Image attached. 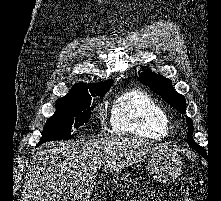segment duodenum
I'll list each match as a JSON object with an SVG mask.
<instances>
[{
  "mask_svg": "<svg viewBox=\"0 0 221 201\" xmlns=\"http://www.w3.org/2000/svg\"><path fill=\"white\" fill-rule=\"evenodd\" d=\"M82 199H83V195L82 194H78L76 196V201H82Z\"/></svg>",
  "mask_w": 221,
  "mask_h": 201,
  "instance_id": "duodenum-1",
  "label": "duodenum"
}]
</instances>
